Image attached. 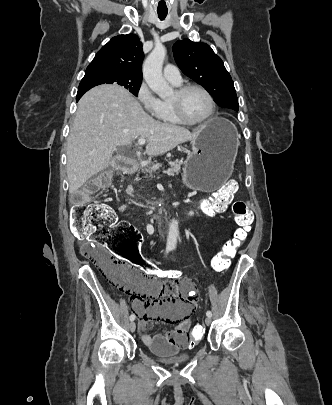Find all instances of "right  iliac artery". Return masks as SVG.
<instances>
[{
  "mask_svg": "<svg viewBox=\"0 0 332 405\" xmlns=\"http://www.w3.org/2000/svg\"><path fill=\"white\" fill-rule=\"evenodd\" d=\"M169 250H170V249H166V254L169 252ZM135 318H136L135 314H131L130 317H129V319H130L131 321H134Z\"/></svg>",
  "mask_w": 332,
  "mask_h": 405,
  "instance_id": "1",
  "label": "right iliac artery"
}]
</instances>
